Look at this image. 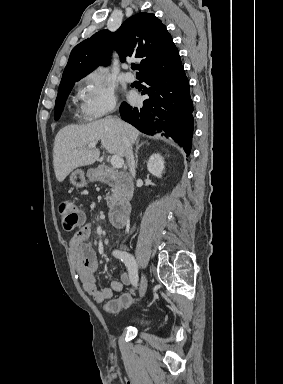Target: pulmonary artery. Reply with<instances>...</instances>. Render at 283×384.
Listing matches in <instances>:
<instances>
[{
	"label": "pulmonary artery",
	"mask_w": 283,
	"mask_h": 384,
	"mask_svg": "<svg viewBox=\"0 0 283 384\" xmlns=\"http://www.w3.org/2000/svg\"><path fill=\"white\" fill-rule=\"evenodd\" d=\"M124 79L128 82V83H132L136 80V77L133 73L129 72V71H126L124 73Z\"/></svg>",
	"instance_id": "1"
}]
</instances>
